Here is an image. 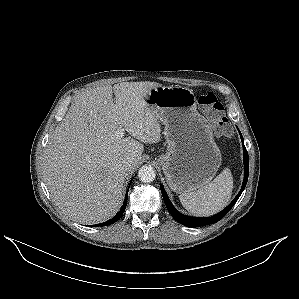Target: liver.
<instances>
[{
  "instance_id": "obj_1",
  "label": "liver",
  "mask_w": 299,
  "mask_h": 299,
  "mask_svg": "<svg viewBox=\"0 0 299 299\" xmlns=\"http://www.w3.org/2000/svg\"><path fill=\"white\" fill-rule=\"evenodd\" d=\"M158 86L122 82L91 88L74 98L50 136L42 163L46 186L65 215L82 224H96L119 211L125 178L138 164L143 143L161 138L160 121L145 102ZM120 128L130 136L118 137ZM127 156L132 163L124 167Z\"/></svg>"
}]
</instances>
